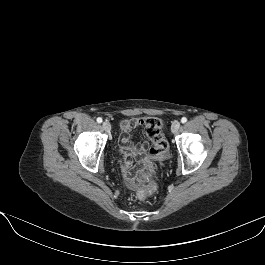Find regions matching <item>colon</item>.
Returning a JSON list of instances; mask_svg holds the SVG:
<instances>
[{
  "label": "colon",
  "instance_id": "5ec220e1",
  "mask_svg": "<svg viewBox=\"0 0 265 265\" xmlns=\"http://www.w3.org/2000/svg\"><path fill=\"white\" fill-rule=\"evenodd\" d=\"M143 125L148 139L151 142V147L149 148V155L152 158L163 157L169 149L168 141L162 134V124L158 118L148 117L143 120ZM142 179H146L145 175L141 176ZM157 191V184L154 181H149L145 188L139 191V197L145 199L150 194Z\"/></svg>",
  "mask_w": 265,
  "mask_h": 265
}]
</instances>
